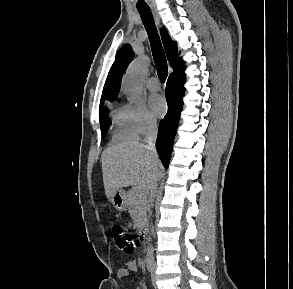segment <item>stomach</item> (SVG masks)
I'll list each match as a JSON object with an SVG mask.
<instances>
[{"instance_id": "obj_1", "label": "stomach", "mask_w": 293, "mask_h": 289, "mask_svg": "<svg viewBox=\"0 0 293 289\" xmlns=\"http://www.w3.org/2000/svg\"><path fill=\"white\" fill-rule=\"evenodd\" d=\"M113 206L118 211H124L127 207V195L123 189H118L110 198Z\"/></svg>"}]
</instances>
